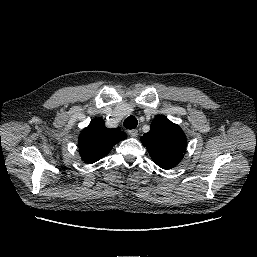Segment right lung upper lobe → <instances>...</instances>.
Segmentation results:
<instances>
[{"instance_id": "1", "label": "right lung upper lobe", "mask_w": 257, "mask_h": 257, "mask_svg": "<svg viewBox=\"0 0 257 257\" xmlns=\"http://www.w3.org/2000/svg\"><path fill=\"white\" fill-rule=\"evenodd\" d=\"M126 137L119 128L108 129L101 118H96L80 133V156L84 162L94 163L106 156L116 143Z\"/></svg>"}]
</instances>
